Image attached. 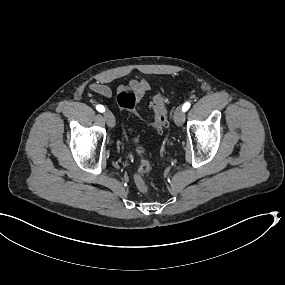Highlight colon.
I'll return each instance as SVG.
<instances>
[{
    "mask_svg": "<svg viewBox=\"0 0 285 285\" xmlns=\"http://www.w3.org/2000/svg\"><path fill=\"white\" fill-rule=\"evenodd\" d=\"M138 101V97L132 91H121L117 96V103L120 109L125 112L134 113L135 115H138L136 111ZM166 102V97L162 93L156 94L150 102V107L154 114L150 125L157 131H161L164 127L168 126ZM133 140L136 152L140 156V164L134 175V182L140 192L147 194L151 191L149 184L145 180V176L150 170V162L144 156V148L139 144L138 138L134 137Z\"/></svg>",
    "mask_w": 285,
    "mask_h": 285,
    "instance_id": "1",
    "label": "colon"
}]
</instances>
